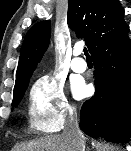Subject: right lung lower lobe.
I'll return each mask as SVG.
<instances>
[{
  "mask_svg": "<svg viewBox=\"0 0 131 151\" xmlns=\"http://www.w3.org/2000/svg\"><path fill=\"white\" fill-rule=\"evenodd\" d=\"M128 31L92 53L96 93L83 103L80 127L89 136L128 142L131 136V40Z\"/></svg>",
  "mask_w": 131,
  "mask_h": 151,
  "instance_id": "right-lung-lower-lobe-1",
  "label": "right lung lower lobe"
}]
</instances>
